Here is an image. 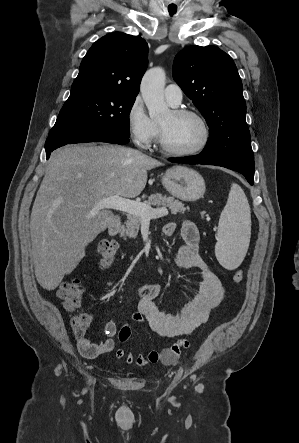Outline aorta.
I'll use <instances>...</instances> for the list:
<instances>
[{"mask_svg":"<svg viewBox=\"0 0 299 443\" xmlns=\"http://www.w3.org/2000/svg\"><path fill=\"white\" fill-rule=\"evenodd\" d=\"M166 74L161 67L149 69L143 76L140 91L151 119L167 117L170 110L164 99Z\"/></svg>","mask_w":299,"mask_h":443,"instance_id":"1","label":"aorta"}]
</instances>
